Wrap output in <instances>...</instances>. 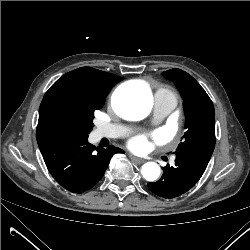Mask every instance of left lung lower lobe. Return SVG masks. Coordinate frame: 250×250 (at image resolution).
I'll return each instance as SVG.
<instances>
[{"mask_svg":"<svg viewBox=\"0 0 250 250\" xmlns=\"http://www.w3.org/2000/svg\"><path fill=\"white\" fill-rule=\"evenodd\" d=\"M215 145L194 146L176 153L175 167L163 168L162 177L148 183L150 190L164 198H175L186 193L203 175Z\"/></svg>","mask_w":250,"mask_h":250,"instance_id":"1","label":"left lung lower lobe"}]
</instances>
